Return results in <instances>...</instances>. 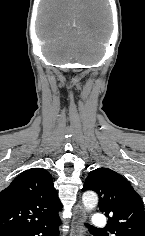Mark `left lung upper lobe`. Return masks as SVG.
Segmentation results:
<instances>
[{
  "label": "left lung upper lobe",
  "instance_id": "1",
  "mask_svg": "<svg viewBox=\"0 0 145 236\" xmlns=\"http://www.w3.org/2000/svg\"><path fill=\"white\" fill-rule=\"evenodd\" d=\"M99 196V209L109 217L107 228L115 236H145V212L140 196L120 174L108 168L91 171L82 191ZM108 236V235H107Z\"/></svg>",
  "mask_w": 145,
  "mask_h": 236
}]
</instances>
